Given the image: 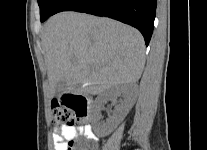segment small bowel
<instances>
[{
    "mask_svg": "<svg viewBox=\"0 0 207 150\" xmlns=\"http://www.w3.org/2000/svg\"><path fill=\"white\" fill-rule=\"evenodd\" d=\"M79 136H83L87 141H96L98 139L92 127L88 124L81 126L63 125L61 128L55 129L52 135L54 149L66 150L67 143Z\"/></svg>",
    "mask_w": 207,
    "mask_h": 150,
    "instance_id": "small-bowel-1",
    "label": "small bowel"
}]
</instances>
